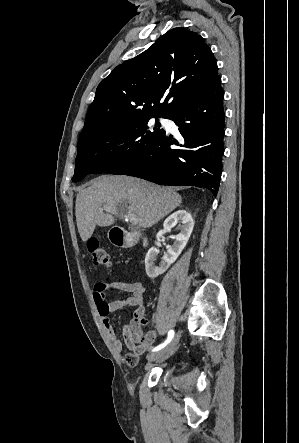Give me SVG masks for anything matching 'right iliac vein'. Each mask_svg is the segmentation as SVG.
I'll list each match as a JSON object with an SVG mask.
<instances>
[{"mask_svg":"<svg viewBox=\"0 0 299 443\" xmlns=\"http://www.w3.org/2000/svg\"><path fill=\"white\" fill-rule=\"evenodd\" d=\"M177 344H178V337H175L165 348H163L162 350H160L156 353L150 354L148 356V360L149 361H156V360H159V359L169 355L175 349Z\"/></svg>","mask_w":299,"mask_h":443,"instance_id":"63e3f726","label":"right iliac vein"}]
</instances>
